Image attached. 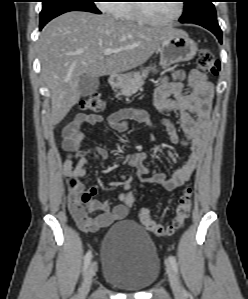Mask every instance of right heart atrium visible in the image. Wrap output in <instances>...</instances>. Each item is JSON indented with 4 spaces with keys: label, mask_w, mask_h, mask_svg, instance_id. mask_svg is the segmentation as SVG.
Masks as SVG:
<instances>
[{
    "label": "right heart atrium",
    "mask_w": 248,
    "mask_h": 299,
    "mask_svg": "<svg viewBox=\"0 0 248 299\" xmlns=\"http://www.w3.org/2000/svg\"><path fill=\"white\" fill-rule=\"evenodd\" d=\"M99 9L104 13L116 14L118 9V2L115 0H100L98 1Z\"/></svg>",
    "instance_id": "obj_1"
}]
</instances>
